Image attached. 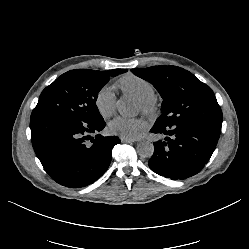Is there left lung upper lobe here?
Wrapping results in <instances>:
<instances>
[{"mask_svg":"<svg viewBox=\"0 0 249 249\" xmlns=\"http://www.w3.org/2000/svg\"><path fill=\"white\" fill-rule=\"evenodd\" d=\"M131 71L153 84L163 98L162 114L155 124L172 126L197 120L222 122V111L213 91L189 71L176 66Z\"/></svg>","mask_w":249,"mask_h":249,"instance_id":"1","label":"left lung upper lobe"}]
</instances>
